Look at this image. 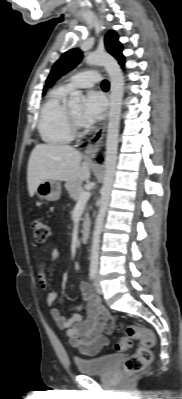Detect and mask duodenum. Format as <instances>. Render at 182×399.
Masks as SVG:
<instances>
[{
	"label": "duodenum",
	"instance_id": "410a0bca",
	"mask_svg": "<svg viewBox=\"0 0 182 399\" xmlns=\"http://www.w3.org/2000/svg\"><path fill=\"white\" fill-rule=\"evenodd\" d=\"M90 231L88 227H85L81 232V239L86 242L89 239Z\"/></svg>",
	"mask_w": 182,
	"mask_h": 399
}]
</instances>
